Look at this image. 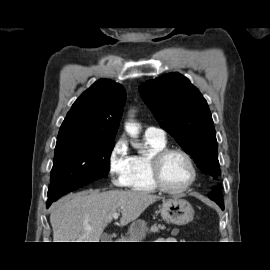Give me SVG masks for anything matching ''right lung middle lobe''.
Wrapping results in <instances>:
<instances>
[{
  "instance_id": "obj_1",
  "label": "right lung middle lobe",
  "mask_w": 270,
  "mask_h": 270,
  "mask_svg": "<svg viewBox=\"0 0 270 270\" xmlns=\"http://www.w3.org/2000/svg\"><path fill=\"white\" fill-rule=\"evenodd\" d=\"M114 140L58 137L51 170L48 200L103 177L110 170Z\"/></svg>"
}]
</instances>
